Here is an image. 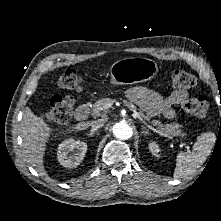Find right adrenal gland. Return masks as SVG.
<instances>
[{"instance_id": "1", "label": "right adrenal gland", "mask_w": 221, "mask_h": 221, "mask_svg": "<svg viewBox=\"0 0 221 221\" xmlns=\"http://www.w3.org/2000/svg\"><path fill=\"white\" fill-rule=\"evenodd\" d=\"M93 135H94V133H92V132L88 134V136H90V137H92Z\"/></svg>"}]
</instances>
